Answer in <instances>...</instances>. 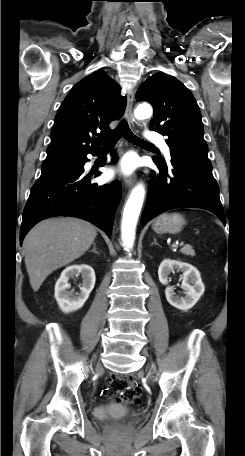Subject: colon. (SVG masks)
I'll list each match as a JSON object with an SVG mask.
<instances>
[{
	"label": "colon",
	"instance_id": "1",
	"mask_svg": "<svg viewBox=\"0 0 245 456\" xmlns=\"http://www.w3.org/2000/svg\"><path fill=\"white\" fill-rule=\"evenodd\" d=\"M142 389L131 377L112 376L108 379L103 394L126 404H139Z\"/></svg>",
	"mask_w": 245,
	"mask_h": 456
}]
</instances>
